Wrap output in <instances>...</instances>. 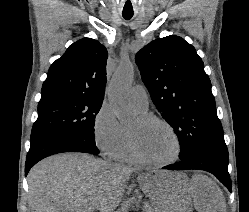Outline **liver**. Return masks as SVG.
<instances>
[{
  "instance_id": "6515ba94",
  "label": "liver",
  "mask_w": 249,
  "mask_h": 212,
  "mask_svg": "<svg viewBox=\"0 0 249 212\" xmlns=\"http://www.w3.org/2000/svg\"><path fill=\"white\" fill-rule=\"evenodd\" d=\"M140 168L95 160L89 154H57L38 162L27 176L31 212H113L118 208L132 172ZM137 182L157 212L172 194H190L197 212H226V200L208 176L171 174L167 170L139 174ZM185 212L184 208H182Z\"/></svg>"
}]
</instances>
